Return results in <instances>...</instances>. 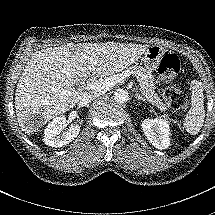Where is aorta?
<instances>
[{
	"instance_id": "762f6f07",
	"label": "aorta",
	"mask_w": 215,
	"mask_h": 215,
	"mask_svg": "<svg viewBox=\"0 0 215 215\" xmlns=\"http://www.w3.org/2000/svg\"><path fill=\"white\" fill-rule=\"evenodd\" d=\"M113 99L117 103H125L129 99V93L124 89H117L113 94Z\"/></svg>"
}]
</instances>
